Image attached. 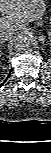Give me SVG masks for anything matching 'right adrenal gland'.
I'll return each mask as SVG.
<instances>
[{"mask_svg":"<svg viewBox=\"0 0 51 153\" xmlns=\"http://www.w3.org/2000/svg\"><path fill=\"white\" fill-rule=\"evenodd\" d=\"M2 43H4V42H1V46H0L1 49H2Z\"/></svg>","mask_w":51,"mask_h":153,"instance_id":"2a0ac1e0","label":"right adrenal gland"}]
</instances>
